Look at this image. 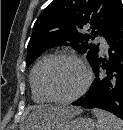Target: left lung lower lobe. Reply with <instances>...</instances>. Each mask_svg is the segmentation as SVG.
Returning <instances> with one entry per match:
<instances>
[{
  "mask_svg": "<svg viewBox=\"0 0 123 130\" xmlns=\"http://www.w3.org/2000/svg\"><path fill=\"white\" fill-rule=\"evenodd\" d=\"M106 41L109 60L97 56L91 62L96 76L93 86L73 105L101 108L123 119V16Z\"/></svg>",
  "mask_w": 123,
  "mask_h": 130,
  "instance_id": "1",
  "label": "left lung lower lobe"
}]
</instances>
